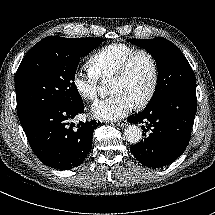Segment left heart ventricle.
Here are the masks:
<instances>
[{
	"label": "left heart ventricle",
	"mask_w": 215,
	"mask_h": 215,
	"mask_svg": "<svg viewBox=\"0 0 215 215\" xmlns=\"http://www.w3.org/2000/svg\"><path fill=\"white\" fill-rule=\"evenodd\" d=\"M150 80V63L145 56H138L123 77L110 79V93H123L136 104L146 94Z\"/></svg>",
	"instance_id": "obj_1"
}]
</instances>
